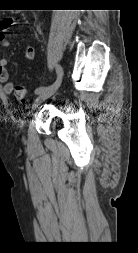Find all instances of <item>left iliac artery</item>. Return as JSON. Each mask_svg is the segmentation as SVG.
I'll list each match as a JSON object with an SVG mask.
<instances>
[{"mask_svg":"<svg viewBox=\"0 0 138 253\" xmlns=\"http://www.w3.org/2000/svg\"><path fill=\"white\" fill-rule=\"evenodd\" d=\"M55 68H56V73H57V79H56V81L52 85H50V86H41V87H38L35 90V94H40V93L44 92L45 90L49 89L50 87H58V86H60L61 81H62V77H63V69H62V67L60 65H56Z\"/></svg>","mask_w":138,"mask_h":253,"instance_id":"44dca946","label":"left iliac artery"}]
</instances>
